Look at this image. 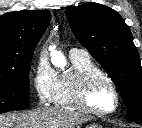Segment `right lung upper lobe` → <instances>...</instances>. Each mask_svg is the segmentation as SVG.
<instances>
[{"instance_id":"1","label":"right lung upper lobe","mask_w":142,"mask_h":128,"mask_svg":"<svg viewBox=\"0 0 142 128\" xmlns=\"http://www.w3.org/2000/svg\"><path fill=\"white\" fill-rule=\"evenodd\" d=\"M49 21L47 10H21L0 16V73L32 59Z\"/></svg>"}]
</instances>
